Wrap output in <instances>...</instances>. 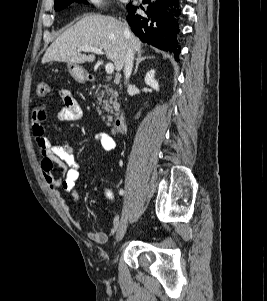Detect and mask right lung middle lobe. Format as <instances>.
<instances>
[{
	"label": "right lung middle lobe",
	"mask_w": 267,
	"mask_h": 301,
	"mask_svg": "<svg viewBox=\"0 0 267 301\" xmlns=\"http://www.w3.org/2000/svg\"><path fill=\"white\" fill-rule=\"evenodd\" d=\"M74 1L87 3L86 0H55V10H61L73 3Z\"/></svg>",
	"instance_id": "dd1d6c3e"
}]
</instances>
